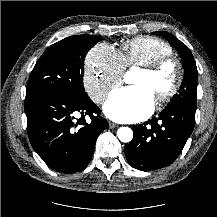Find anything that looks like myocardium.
Wrapping results in <instances>:
<instances>
[{
	"label": "myocardium",
	"instance_id": "myocardium-1",
	"mask_svg": "<svg viewBox=\"0 0 217 217\" xmlns=\"http://www.w3.org/2000/svg\"><path fill=\"white\" fill-rule=\"evenodd\" d=\"M166 68L171 70L173 76L172 83L166 91L160 92L155 96V99L158 103H166L170 101L179 92L183 82L182 66L174 56L168 55L141 67V71L153 77L158 76Z\"/></svg>",
	"mask_w": 217,
	"mask_h": 217
}]
</instances>
